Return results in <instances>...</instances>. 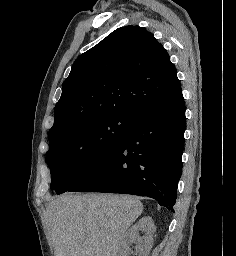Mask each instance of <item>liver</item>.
Returning a JSON list of instances; mask_svg holds the SVG:
<instances>
[{
  "mask_svg": "<svg viewBox=\"0 0 236 256\" xmlns=\"http://www.w3.org/2000/svg\"><path fill=\"white\" fill-rule=\"evenodd\" d=\"M134 196L63 194L47 206L55 256H120L127 230L141 216Z\"/></svg>",
  "mask_w": 236,
  "mask_h": 256,
  "instance_id": "liver-1",
  "label": "liver"
}]
</instances>
